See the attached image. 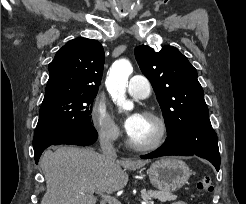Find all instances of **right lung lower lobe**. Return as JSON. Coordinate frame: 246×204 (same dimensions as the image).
I'll return each mask as SVG.
<instances>
[{"instance_id":"98d812e1","label":"right lung lower lobe","mask_w":246,"mask_h":204,"mask_svg":"<svg viewBox=\"0 0 246 204\" xmlns=\"http://www.w3.org/2000/svg\"><path fill=\"white\" fill-rule=\"evenodd\" d=\"M97 139L96 130L92 128H78L65 132L61 136L54 138H43L33 143L35 162L38 163L41 153L51 145L72 144L87 146L93 144Z\"/></svg>"}]
</instances>
